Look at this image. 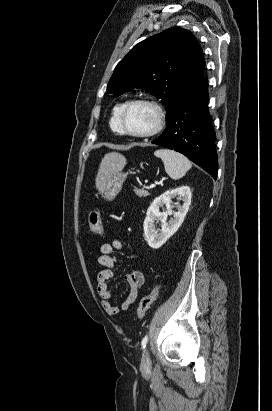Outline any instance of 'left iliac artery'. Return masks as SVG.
Here are the masks:
<instances>
[{
  "label": "left iliac artery",
  "mask_w": 272,
  "mask_h": 411,
  "mask_svg": "<svg viewBox=\"0 0 272 411\" xmlns=\"http://www.w3.org/2000/svg\"><path fill=\"white\" fill-rule=\"evenodd\" d=\"M147 342H148V336H145V337L142 339V342H141V347H142V349H144V348L146 347Z\"/></svg>",
  "instance_id": "44dca946"
}]
</instances>
